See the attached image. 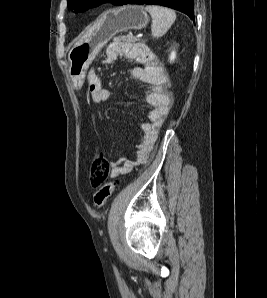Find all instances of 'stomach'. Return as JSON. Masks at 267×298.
Instances as JSON below:
<instances>
[{"instance_id":"obj_1","label":"stomach","mask_w":267,"mask_h":298,"mask_svg":"<svg viewBox=\"0 0 267 298\" xmlns=\"http://www.w3.org/2000/svg\"><path fill=\"white\" fill-rule=\"evenodd\" d=\"M148 21L147 13L139 5H126L104 13L99 20V27L89 39L74 46L68 54V72L74 86L82 87L89 65L115 34L143 29Z\"/></svg>"}]
</instances>
